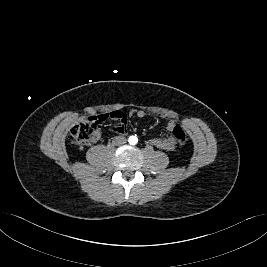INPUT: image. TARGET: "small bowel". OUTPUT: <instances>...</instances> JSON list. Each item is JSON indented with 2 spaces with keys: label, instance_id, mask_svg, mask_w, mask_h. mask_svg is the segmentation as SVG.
I'll use <instances>...</instances> for the list:
<instances>
[{
  "label": "small bowel",
  "instance_id": "small-bowel-1",
  "mask_svg": "<svg viewBox=\"0 0 267 267\" xmlns=\"http://www.w3.org/2000/svg\"><path fill=\"white\" fill-rule=\"evenodd\" d=\"M107 115L109 118L116 121V124L112 127V130L119 134L126 133V120H127V114L115 110L112 111ZM135 115L138 118H143L145 116V112L143 110L138 111H130L128 113V116ZM175 126V123L173 121H170L167 123V129L171 131V129ZM152 144L162 150L171 151L176 147L177 141L174 137H156L151 140Z\"/></svg>",
  "mask_w": 267,
  "mask_h": 267
}]
</instances>
